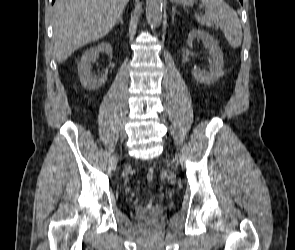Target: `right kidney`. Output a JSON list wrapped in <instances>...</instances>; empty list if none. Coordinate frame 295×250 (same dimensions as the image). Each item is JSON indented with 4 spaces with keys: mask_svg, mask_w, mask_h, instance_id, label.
Here are the masks:
<instances>
[{
    "mask_svg": "<svg viewBox=\"0 0 295 250\" xmlns=\"http://www.w3.org/2000/svg\"><path fill=\"white\" fill-rule=\"evenodd\" d=\"M100 52H105L109 56H112V47L109 43L103 42L91 49L85 51L78 63V76L80 82L84 88L88 90L98 89L102 84L105 83L107 75H102L97 78L93 76L91 72V63L95 62Z\"/></svg>",
    "mask_w": 295,
    "mask_h": 250,
    "instance_id": "1",
    "label": "right kidney"
}]
</instances>
